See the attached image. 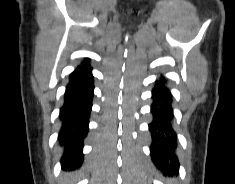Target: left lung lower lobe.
Here are the masks:
<instances>
[{"label": "left lung lower lobe", "instance_id": "left-lung-lower-lobe-1", "mask_svg": "<svg viewBox=\"0 0 235 184\" xmlns=\"http://www.w3.org/2000/svg\"><path fill=\"white\" fill-rule=\"evenodd\" d=\"M164 80L158 81L159 86L153 89L152 95L154 104L151 111L153 121L149 124V131L153 139L151 158L158 169L173 175L178 173L179 161L174 155L176 146V135L171 127L173 118L169 93L163 87Z\"/></svg>", "mask_w": 235, "mask_h": 184}]
</instances>
